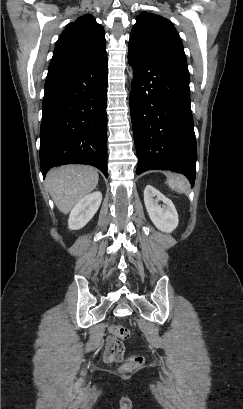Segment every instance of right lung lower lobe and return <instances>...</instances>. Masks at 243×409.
I'll return each instance as SVG.
<instances>
[{"mask_svg":"<svg viewBox=\"0 0 243 409\" xmlns=\"http://www.w3.org/2000/svg\"><path fill=\"white\" fill-rule=\"evenodd\" d=\"M107 53L49 72L40 129L43 176L63 164H88L107 177Z\"/></svg>","mask_w":243,"mask_h":409,"instance_id":"98d812e1","label":"right lung lower lobe"}]
</instances>
